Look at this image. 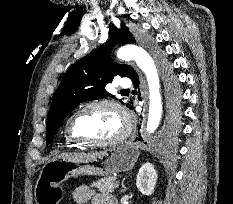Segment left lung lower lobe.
I'll use <instances>...</instances> for the list:
<instances>
[{
	"label": "left lung lower lobe",
	"mask_w": 233,
	"mask_h": 204,
	"mask_svg": "<svg viewBox=\"0 0 233 204\" xmlns=\"http://www.w3.org/2000/svg\"><path fill=\"white\" fill-rule=\"evenodd\" d=\"M130 79L133 81L135 88H138V86H139V77H138V74L137 73L133 74V76ZM129 108L132 109L131 106H129ZM170 127H171V130H175L174 124L170 123ZM138 140L139 141H143L142 137H139Z\"/></svg>",
	"instance_id": "obj_1"
}]
</instances>
